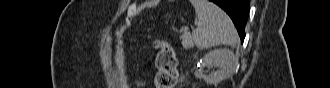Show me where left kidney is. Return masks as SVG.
Segmentation results:
<instances>
[{
	"mask_svg": "<svg viewBox=\"0 0 330 88\" xmlns=\"http://www.w3.org/2000/svg\"><path fill=\"white\" fill-rule=\"evenodd\" d=\"M202 67H216V71L209 75H203L197 72V76L202 78L206 83L217 85L230 76L236 67V59L234 53L229 49H216L208 52L201 63Z\"/></svg>",
	"mask_w": 330,
	"mask_h": 88,
	"instance_id": "5707ae66",
	"label": "left kidney"
}]
</instances>
